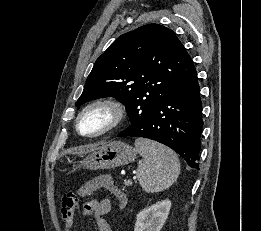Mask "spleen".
I'll return each mask as SVG.
<instances>
[{
	"label": "spleen",
	"mask_w": 261,
	"mask_h": 231,
	"mask_svg": "<svg viewBox=\"0 0 261 231\" xmlns=\"http://www.w3.org/2000/svg\"><path fill=\"white\" fill-rule=\"evenodd\" d=\"M135 147L144 161L138 166L137 178L146 192H160L178 178L180 162L169 148L149 139L138 138Z\"/></svg>",
	"instance_id": "obj_1"
}]
</instances>
